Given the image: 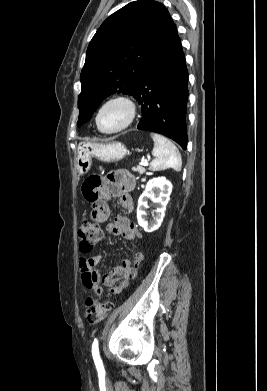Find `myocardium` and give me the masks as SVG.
Masks as SVG:
<instances>
[{"label":"myocardium","instance_id":"obj_1","mask_svg":"<svg viewBox=\"0 0 267 391\" xmlns=\"http://www.w3.org/2000/svg\"><path fill=\"white\" fill-rule=\"evenodd\" d=\"M112 103H121V104H123L126 107V109H127V118H126L125 122L122 124V126H120L119 128L111 130V131H106V130L101 128L100 122H99V118H100L102 110L106 106H108V105H110ZM136 114H137V106H136L135 101L130 96H128L126 94H117V95H113V96L107 98L99 106V108L97 110V113H96V116H95V123H96V126H97L98 130L101 133H103V134H115V133L121 132V131L125 130L126 128H128L133 123V121H134V119L136 117Z\"/></svg>","mask_w":267,"mask_h":391}]
</instances>
